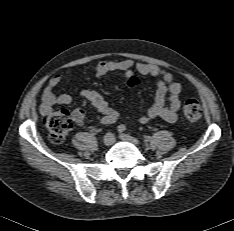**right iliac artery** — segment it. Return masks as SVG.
<instances>
[{
    "mask_svg": "<svg viewBox=\"0 0 234 231\" xmlns=\"http://www.w3.org/2000/svg\"><path fill=\"white\" fill-rule=\"evenodd\" d=\"M117 120L116 119H105V118H102L100 120V123L101 124H112V123H115Z\"/></svg>",
    "mask_w": 234,
    "mask_h": 231,
    "instance_id": "obj_1",
    "label": "right iliac artery"
}]
</instances>
